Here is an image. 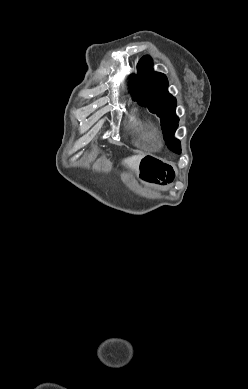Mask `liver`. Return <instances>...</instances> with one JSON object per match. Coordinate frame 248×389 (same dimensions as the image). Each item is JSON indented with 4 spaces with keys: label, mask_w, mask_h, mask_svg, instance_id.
<instances>
[{
    "label": "liver",
    "mask_w": 248,
    "mask_h": 389,
    "mask_svg": "<svg viewBox=\"0 0 248 389\" xmlns=\"http://www.w3.org/2000/svg\"><path fill=\"white\" fill-rule=\"evenodd\" d=\"M144 157V155H135L132 157L126 158L123 163L124 165L130 167L134 171H138V165L141 159Z\"/></svg>",
    "instance_id": "liver-1"
}]
</instances>
